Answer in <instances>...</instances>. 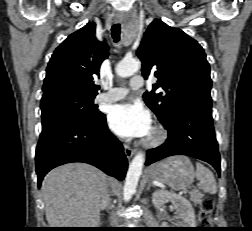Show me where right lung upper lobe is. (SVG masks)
Masks as SVG:
<instances>
[{
  "label": "right lung upper lobe",
  "instance_id": "1",
  "mask_svg": "<svg viewBox=\"0 0 252 231\" xmlns=\"http://www.w3.org/2000/svg\"><path fill=\"white\" fill-rule=\"evenodd\" d=\"M96 24L87 23L69 35L54 51L43 84L42 99L59 94L97 95L93 75L108 57V45L95 36Z\"/></svg>",
  "mask_w": 252,
  "mask_h": 231
}]
</instances>
